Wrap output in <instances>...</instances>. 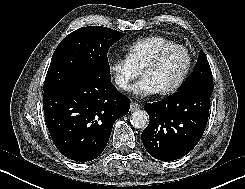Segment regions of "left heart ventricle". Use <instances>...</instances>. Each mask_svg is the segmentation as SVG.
<instances>
[{"label": "left heart ventricle", "instance_id": "1", "mask_svg": "<svg viewBox=\"0 0 245 189\" xmlns=\"http://www.w3.org/2000/svg\"><path fill=\"white\" fill-rule=\"evenodd\" d=\"M187 63L186 53L176 49L169 52L157 67L146 71L142 77L149 80L158 91H161L172 86L180 79Z\"/></svg>", "mask_w": 245, "mask_h": 189}]
</instances>
